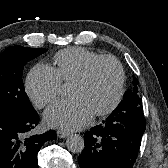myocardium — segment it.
Segmentation results:
<instances>
[{"label":"myocardium","mask_w":168,"mask_h":168,"mask_svg":"<svg viewBox=\"0 0 168 168\" xmlns=\"http://www.w3.org/2000/svg\"><path fill=\"white\" fill-rule=\"evenodd\" d=\"M103 61H110L115 64L118 71V80H117V87H116L115 94L111 99V101L109 102V104L104 108L93 113L95 116H98V117L110 114L112 111L115 110V108L118 106L119 102L121 101V98L124 93V85H125V71L121 61L113 55H101L95 58L94 60H92L91 62H89L87 66L84 68V70L72 81V83L86 82L90 78L95 67Z\"/></svg>","instance_id":"f54148a6"}]
</instances>
